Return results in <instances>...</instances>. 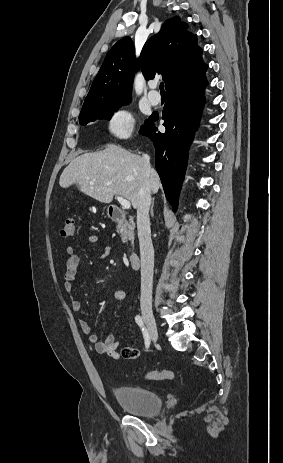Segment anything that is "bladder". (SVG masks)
<instances>
[{
    "mask_svg": "<svg viewBox=\"0 0 283 463\" xmlns=\"http://www.w3.org/2000/svg\"><path fill=\"white\" fill-rule=\"evenodd\" d=\"M119 403L129 414L153 417L162 410V400L158 393L137 386H119L113 391Z\"/></svg>",
    "mask_w": 283,
    "mask_h": 463,
    "instance_id": "bladder-1",
    "label": "bladder"
}]
</instances>
